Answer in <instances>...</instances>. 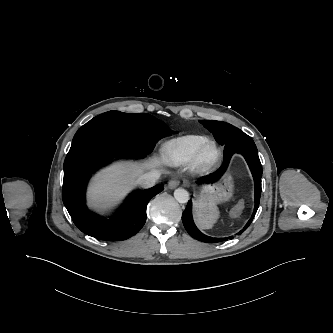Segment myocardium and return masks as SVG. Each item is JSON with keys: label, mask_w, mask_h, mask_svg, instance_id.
Returning a JSON list of instances; mask_svg holds the SVG:
<instances>
[{"label": "myocardium", "mask_w": 333, "mask_h": 333, "mask_svg": "<svg viewBox=\"0 0 333 333\" xmlns=\"http://www.w3.org/2000/svg\"><path fill=\"white\" fill-rule=\"evenodd\" d=\"M210 149L214 151V156L208 159L206 153ZM221 155L219 146L213 141H208L200 148L192 163L197 170L204 172L213 168L219 162Z\"/></svg>", "instance_id": "obj_1"}]
</instances>
